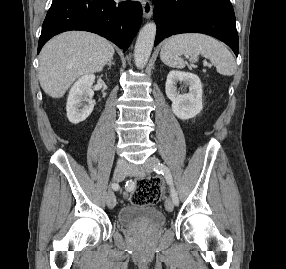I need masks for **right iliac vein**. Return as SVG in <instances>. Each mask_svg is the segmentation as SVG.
I'll return each instance as SVG.
<instances>
[{"label":"right iliac vein","mask_w":286,"mask_h":269,"mask_svg":"<svg viewBox=\"0 0 286 269\" xmlns=\"http://www.w3.org/2000/svg\"><path fill=\"white\" fill-rule=\"evenodd\" d=\"M127 171H128V166L123 162H119L114 170L113 180L115 182L122 181L125 178ZM115 205H116L115 195L111 190H109L107 195V206L110 209H113Z\"/></svg>","instance_id":"1"}]
</instances>
